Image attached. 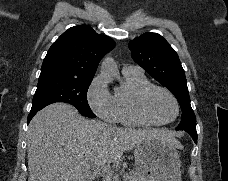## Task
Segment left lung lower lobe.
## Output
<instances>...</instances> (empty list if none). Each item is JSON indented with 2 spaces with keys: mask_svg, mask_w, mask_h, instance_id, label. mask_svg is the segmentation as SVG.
Returning <instances> with one entry per match:
<instances>
[{
  "mask_svg": "<svg viewBox=\"0 0 228 181\" xmlns=\"http://www.w3.org/2000/svg\"><path fill=\"white\" fill-rule=\"evenodd\" d=\"M187 133L192 137L193 141L197 143V133L196 130H187Z\"/></svg>",
  "mask_w": 228,
  "mask_h": 181,
  "instance_id": "obj_1",
  "label": "left lung lower lobe"
}]
</instances>
